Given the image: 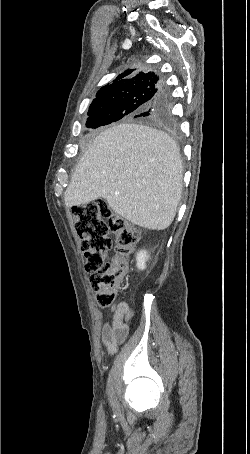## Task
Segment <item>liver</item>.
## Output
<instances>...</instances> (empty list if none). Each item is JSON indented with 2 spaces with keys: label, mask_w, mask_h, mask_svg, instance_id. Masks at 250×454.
<instances>
[{
  "label": "liver",
  "mask_w": 250,
  "mask_h": 454,
  "mask_svg": "<svg viewBox=\"0 0 250 454\" xmlns=\"http://www.w3.org/2000/svg\"><path fill=\"white\" fill-rule=\"evenodd\" d=\"M183 166L165 132L124 123L100 133L79 160L65 191L67 207L104 198L135 225L165 230L181 199Z\"/></svg>",
  "instance_id": "1"
}]
</instances>
